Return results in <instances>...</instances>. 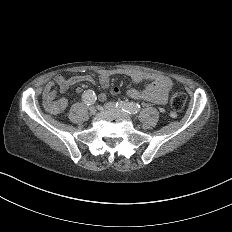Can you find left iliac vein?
Masks as SVG:
<instances>
[{"mask_svg":"<svg viewBox=\"0 0 232 232\" xmlns=\"http://www.w3.org/2000/svg\"><path fill=\"white\" fill-rule=\"evenodd\" d=\"M96 108H105L106 110H115L116 112H119L120 110L117 109V105L113 102H108L105 105H96Z\"/></svg>","mask_w":232,"mask_h":232,"instance_id":"4c4485c4","label":"left iliac vein"}]
</instances>
